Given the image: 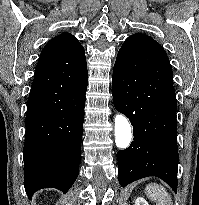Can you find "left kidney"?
Segmentation results:
<instances>
[{"mask_svg":"<svg viewBox=\"0 0 199 205\" xmlns=\"http://www.w3.org/2000/svg\"><path fill=\"white\" fill-rule=\"evenodd\" d=\"M135 205H149V204L144 198L138 197L135 201Z\"/></svg>","mask_w":199,"mask_h":205,"instance_id":"obj_1","label":"left kidney"}]
</instances>
